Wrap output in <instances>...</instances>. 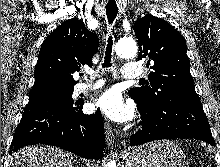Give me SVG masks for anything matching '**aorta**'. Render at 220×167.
<instances>
[{
    "instance_id": "762f6f07",
    "label": "aorta",
    "mask_w": 220,
    "mask_h": 167,
    "mask_svg": "<svg viewBox=\"0 0 220 167\" xmlns=\"http://www.w3.org/2000/svg\"><path fill=\"white\" fill-rule=\"evenodd\" d=\"M116 55L121 58H130L136 55L137 45L132 37H127L119 40L115 45ZM106 167H117L115 161L107 163Z\"/></svg>"
}]
</instances>
